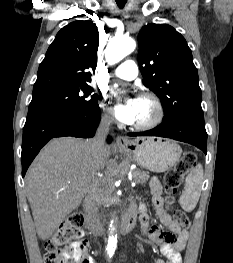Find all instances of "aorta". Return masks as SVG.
I'll list each match as a JSON object with an SVG mask.
<instances>
[{
    "label": "aorta",
    "mask_w": 233,
    "mask_h": 263,
    "mask_svg": "<svg viewBox=\"0 0 233 263\" xmlns=\"http://www.w3.org/2000/svg\"><path fill=\"white\" fill-rule=\"evenodd\" d=\"M136 48L135 41L130 37H115L107 46L106 60L109 64H115L124 57L132 53ZM111 221V232L114 230ZM117 245V235H109L107 251L110 255L113 254Z\"/></svg>",
    "instance_id": "762f6f07"
}]
</instances>
